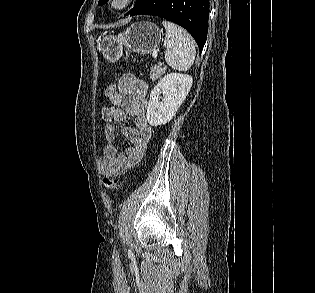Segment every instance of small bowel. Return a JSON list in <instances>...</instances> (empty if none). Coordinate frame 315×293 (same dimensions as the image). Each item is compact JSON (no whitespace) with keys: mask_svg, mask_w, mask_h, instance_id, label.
I'll list each match as a JSON object with an SVG mask.
<instances>
[{"mask_svg":"<svg viewBox=\"0 0 315 293\" xmlns=\"http://www.w3.org/2000/svg\"><path fill=\"white\" fill-rule=\"evenodd\" d=\"M115 86L116 91L108 96L112 106L104 107L101 111L106 122L104 136L108 143L104 146L103 155L99 159V169L107 177L121 175L136 164L152 135V127L146 117L148 91L146 82L127 73L120 77ZM128 116L134 117L135 126L121 127V133L131 143V147L122 152L114 145L115 124L124 122Z\"/></svg>","mask_w":315,"mask_h":293,"instance_id":"obj_1","label":"small bowel"}]
</instances>
